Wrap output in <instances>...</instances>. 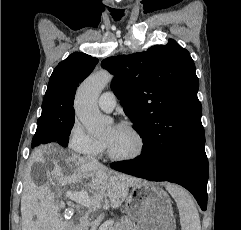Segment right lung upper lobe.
<instances>
[{
    "mask_svg": "<svg viewBox=\"0 0 241 230\" xmlns=\"http://www.w3.org/2000/svg\"><path fill=\"white\" fill-rule=\"evenodd\" d=\"M97 63V58L80 52L72 53L60 62L50 77L42 103V114H49L60 120L74 117L73 100L76 88Z\"/></svg>",
    "mask_w": 241,
    "mask_h": 230,
    "instance_id": "right-lung-upper-lobe-1",
    "label": "right lung upper lobe"
}]
</instances>
